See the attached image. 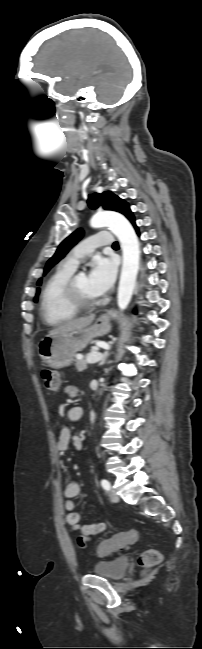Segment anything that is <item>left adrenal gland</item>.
<instances>
[{"instance_id": "obj_1", "label": "left adrenal gland", "mask_w": 202, "mask_h": 649, "mask_svg": "<svg viewBox=\"0 0 202 649\" xmlns=\"http://www.w3.org/2000/svg\"><path fill=\"white\" fill-rule=\"evenodd\" d=\"M109 355L110 354H107V355L104 356V358L102 360V365L106 364V361H107V358L109 357Z\"/></svg>"}]
</instances>
